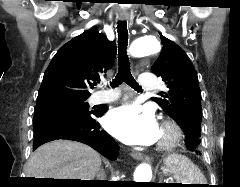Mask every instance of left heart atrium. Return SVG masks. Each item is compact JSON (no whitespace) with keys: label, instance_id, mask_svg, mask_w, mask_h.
<instances>
[{"label":"left heart atrium","instance_id":"obj_1","mask_svg":"<svg viewBox=\"0 0 240 187\" xmlns=\"http://www.w3.org/2000/svg\"><path fill=\"white\" fill-rule=\"evenodd\" d=\"M104 124L108 132L129 145H151L160 138V127L153 113L130 106L110 111Z\"/></svg>","mask_w":240,"mask_h":187}]
</instances>
